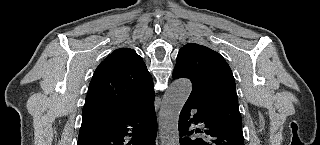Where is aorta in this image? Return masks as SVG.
<instances>
[{"instance_id":"1","label":"aorta","mask_w":320,"mask_h":145,"mask_svg":"<svg viewBox=\"0 0 320 145\" xmlns=\"http://www.w3.org/2000/svg\"><path fill=\"white\" fill-rule=\"evenodd\" d=\"M191 90V81L182 78L175 80L166 91L159 114L161 145H179V115Z\"/></svg>"}]
</instances>
